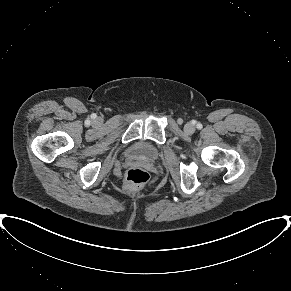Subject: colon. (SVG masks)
Masks as SVG:
<instances>
[{
  "mask_svg": "<svg viewBox=\"0 0 291 291\" xmlns=\"http://www.w3.org/2000/svg\"><path fill=\"white\" fill-rule=\"evenodd\" d=\"M125 180L128 190L135 192L148 182L149 174L143 168L131 167L125 172Z\"/></svg>",
  "mask_w": 291,
  "mask_h": 291,
  "instance_id": "1",
  "label": "colon"
}]
</instances>
